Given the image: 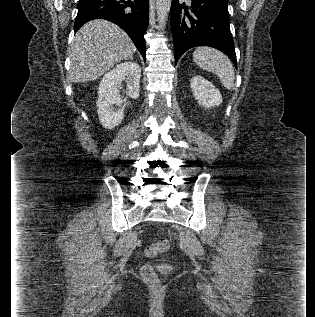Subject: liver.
Wrapping results in <instances>:
<instances>
[{"label":"liver","mask_w":315,"mask_h":317,"mask_svg":"<svg viewBox=\"0 0 315 317\" xmlns=\"http://www.w3.org/2000/svg\"><path fill=\"white\" fill-rule=\"evenodd\" d=\"M134 51L133 42L117 25L101 19L90 21L76 33L68 49L70 80L74 83L96 80Z\"/></svg>","instance_id":"liver-1"}]
</instances>
